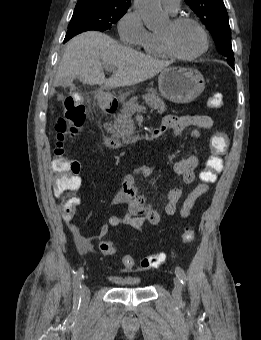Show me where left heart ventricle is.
<instances>
[{"instance_id": "1", "label": "left heart ventricle", "mask_w": 261, "mask_h": 340, "mask_svg": "<svg viewBox=\"0 0 261 340\" xmlns=\"http://www.w3.org/2000/svg\"><path fill=\"white\" fill-rule=\"evenodd\" d=\"M159 34L168 37L172 47L183 55L194 54L203 46L200 31L191 23L174 26L169 21Z\"/></svg>"}]
</instances>
